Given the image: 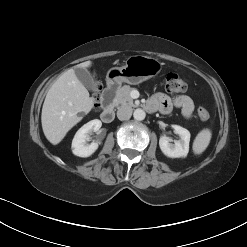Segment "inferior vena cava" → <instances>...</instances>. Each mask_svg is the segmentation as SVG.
I'll list each match as a JSON object with an SVG mask.
<instances>
[{"label": "inferior vena cava", "instance_id": "1", "mask_svg": "<svg viewBox=\"0 0 247 247\" xmlns=\"http://www.w3.org/2000/svg\"><path fill=\"white\" fill-rule=\"evenodd\" d=\"M132 115V108L127 105H123L118 108L117 117L119 120H128Z\"/></svg>", "mask_w": 247, "mask_h": 247}]
</instances>
